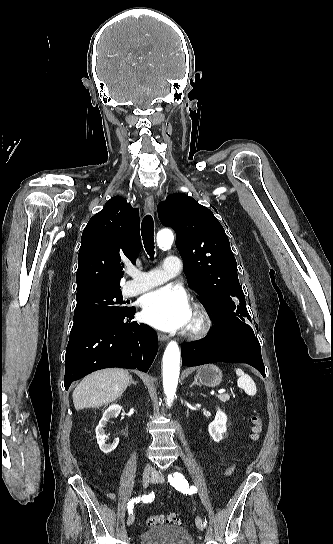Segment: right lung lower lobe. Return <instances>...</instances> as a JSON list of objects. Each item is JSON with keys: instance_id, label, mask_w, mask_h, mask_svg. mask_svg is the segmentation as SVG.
I'll list each match as a JSON object with an SVG mask.
<instances>
[{"instance_id": "98d812e1", "label": "right lung lower lobe", "mask_w": 333, "mask_h": 544, "mask_svg": "<svg viewBox=\"0 0 333 544\" xmlns=\"http://www.w3.org/2000/svg\"><path fill=\"white\" fill-rule=\"evenodd\" d=\"M132 307L121 316L69 338L64 386L96 370L121 367L147 372L157 353L156 333L133 320Z\"/></svg>"}]
</instances>
